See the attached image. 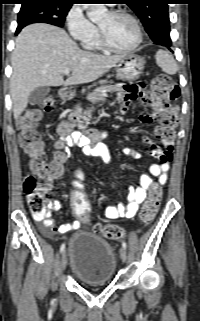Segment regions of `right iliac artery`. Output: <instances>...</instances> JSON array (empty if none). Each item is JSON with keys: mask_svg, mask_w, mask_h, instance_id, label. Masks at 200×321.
I'll return each instance as SVG.
<instances>
[{"mask_svg": "<svg viewBox=\"0 0 200 321\" xmlns=\"http://www.w3.org/2000/svg\"><path fill=\"white\" fill-rule=\"evenodd\" d=\"M64 249H65V243H63V244L61 245V247H60V252H63Z\"/></svg>", "mask_w": 200, "mask_h": 321, "instance_id": "right-iliac-artery-1", "label": "right iliac artery"}]
</instances>
